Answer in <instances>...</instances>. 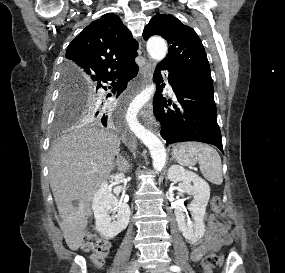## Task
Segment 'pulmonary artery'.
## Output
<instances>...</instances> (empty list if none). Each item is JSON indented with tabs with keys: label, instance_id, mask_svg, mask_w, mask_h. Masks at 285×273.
<instances>
[{
	"label": "pulmonary artery",
	"instance_id": "e3ab8cb5",
	"mask_svg": "<svg viewBox=\"0 0 285 273\" xmlns=\"http://www.w3.org/2000/svg\"><path fill=\"white\" fill-rule=\"evenodd\" d=\"M168 89L170 92H172V87L170 85H168Z\"/></svg>",
	"mask_w": 285,
	"mask_h": 273
}]
</instances>
